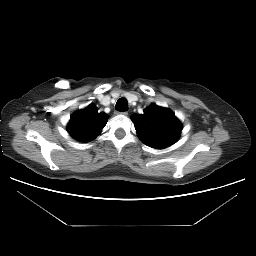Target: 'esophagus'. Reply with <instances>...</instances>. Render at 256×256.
Segmentation results:
<instances>
[{
    "instance_id": "34e87169",
    "label": "esophagus",
    "mask_w": 256,
    "mask_h": 256,
    "mask_svg": "<svg viewBox=\"0 0 256 256\" xmlns=\"http://www.w3.org/2000/svg\"><path fill=\"white\" fill-rule=\"evenodd\" d=\"M120 114H123V115H125V116H127L128 115V112H120Z\"/></svg>"
}]
</instances>
